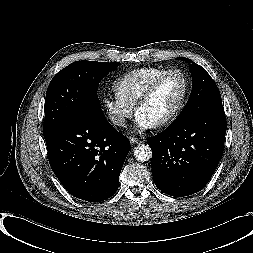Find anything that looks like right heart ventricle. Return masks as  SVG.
I'll list each match as a JSON object with an SVG mask.
<instances>
[{"label": "right heart ventricle", "instance_id": "1", "mask_svg": "<svg viewBox=\"0 0 253 253\" xmlns=\"http://www.w3.org/2000/svg\"><path fill=\"white\" fill-rule=\"evenodd\" d=\"M167 68L143 67L124 73L114 83V91L126 102L135 106L150 82Z\"/></svg>", "mask_w": 253, "mask_h": 253}]
</instances>
